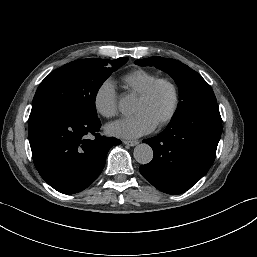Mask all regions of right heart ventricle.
Here are the masks:
<instances>
[{"label": "right heart ventricle", "instance_id": "1", "mask_svg": "<svg viewBox=\"0 0 257 257\" xmlns=\"http://www.w3.org/2000/svg\"><path fill=\"white\" fill-rule=\"evenodd\" d=\"M158 78L159 76L154 72L145 69H136L125 74L121 78V83L129 94L138 96Z\"/></svg>", "mask_w": 257, "mask_h": 257}]
</instances>
